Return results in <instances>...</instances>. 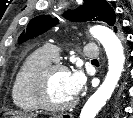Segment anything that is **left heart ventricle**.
I'll return each mask as SVG.
<instances>
[{"label": "left heart ventricle", "instance_id": "1", "mask_svg": "<svg viewBox=\"0 0 133 118\" xmlns=\"http://www.w3.org/2000/svg\"><path fill=\"white\" fill-rule=\"evenodd\" d=\"M67 75V71L58 69L50 76L48 83V98L53 104H65L74 98L68 89Z\"/></svg>", "mask_w": 133, "mask_h": 118}]
</instances>
